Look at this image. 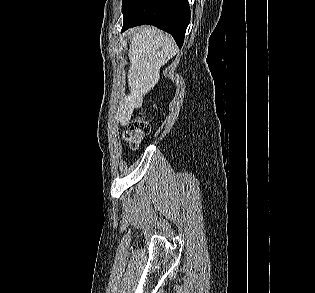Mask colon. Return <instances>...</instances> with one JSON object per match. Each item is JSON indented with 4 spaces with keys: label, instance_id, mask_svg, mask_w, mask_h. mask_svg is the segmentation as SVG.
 Segmentation results:
<instances>
[{
    "label": "colon",
    "instance_id": "5ec220e1",
    "mask_svg": "<svg viewBox=\"0 0 315 293\" xmlns=\"http://www.w3.org/2000/svg\"><path fill=\"white\" fill-rule=\"evenodd\" d=\"M148 124L141 118L136 117L128 127L125 138L132 149H137L144 136L149 133Z\"/></svg>",
    "mask_w": 315,
    "mask_h": 293
}]
</instances>
